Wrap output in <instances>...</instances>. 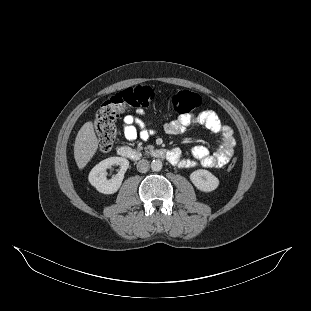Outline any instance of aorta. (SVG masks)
<instances>
[{
    "mask_svg": "<svg viewBox=\"0 0 311 311\" xmlns=\"http://www.w3.org/2000/svg\"><path fill=\"white\" fill-rule=\"evenodd\" d=\"M163 167V163L160 159H154L152 162H151V169L153 171H160Z\"/></svg>",
    "mask_w": 311,
    "mask_h": 311,
    "instance_id": "762f6f07",
    "label": "aorta"
}]
</instances>
